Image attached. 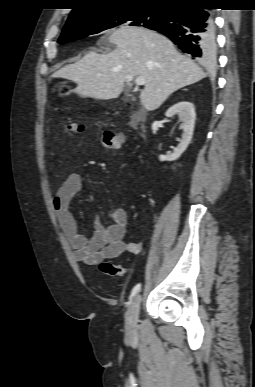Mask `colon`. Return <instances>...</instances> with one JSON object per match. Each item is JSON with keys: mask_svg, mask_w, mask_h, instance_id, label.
<instances>
[{"mask_svg": "<svg viewBox=\"0 0 255 387\" xmlns=\"http://www.w3.org/2000/svg\"><path fill=\"white\" fill-rule=\"evenodd\" d=\"M68 130L73 133L82 134L84 127L78 124H70L68 125ZM100 142L107 149H119L127 143V138L123 134L107 131L101 135ZM99 269L102 273L109 276H123L126 272L122 266L109 261L100 262Z\"/></svg>", "mask_w": 255, "mask_h": 387, "instance_id": "1", "label": "colon"}]
</instances>
